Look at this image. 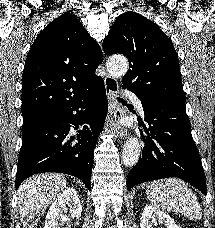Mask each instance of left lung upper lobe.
Segmentation results:
<instances>
[{"label":"left lung upper lobe","instance_id":"left-lung-upper-lobe-1","mask_svg":"<svg viewBox=\"0 0 215 228\" xmlns=\"http://www.w3.org/2000/svg\"><path fill=\"white\" fill-rule=\"evenodd\" d=\"M103 49L106 55L120 53L128 58L123 88L138 98L185 102L177 53L155 23L136 12H125L105 37Z\"/></svg>","mask_w":215,"mask_h":228}]
</instances>
